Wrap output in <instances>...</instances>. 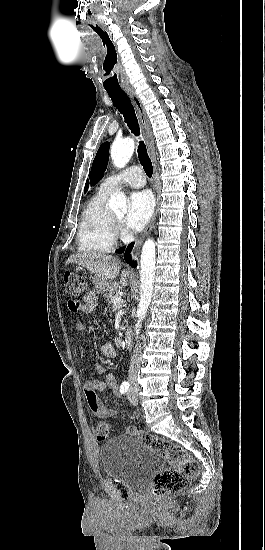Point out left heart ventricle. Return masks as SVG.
I'll list each match as a JSON object with an SVG mask.
<instances>
[{
	"label": "left heart ventricle",
	"mask_w": 265,
	"mask_h": 550,
	"mask_svg": "<svg viewBox=\"0 0 265 550\" xmlns=\"http://www.w3.org/2000/svg\"><path fill=\"white\" fill-rule=\"evenodd\" d=\"M115 215L122 220L124 213H115Z\"/></svg>",
	"instance_id": "left-heart-ventricle-1"
}]
</instances>
